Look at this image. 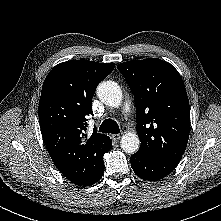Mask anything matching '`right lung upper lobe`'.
I'll return each mask as SVG.
<instances>
[{
  "label": "right lung upper lobe",
  "instance_id": "obj_1",
  "mask_svg": "<svg viewBox=\"0 0 221 221\" xmlns=\"http://www.w3.org/2000/svg\"><path fill=\"white\" fill-rule=\"evenodd\" d=\"M114 63L73 60L56 65L44 80L39 101V122L47 151L59 171L76 185H86L104 166L112 143L93 130L87 117L97 85Z\"/></svg>",
  "mask_w": 221,
  "mask_h": 221
}]
</instances>
